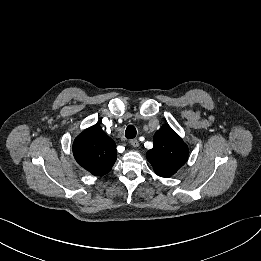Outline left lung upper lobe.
Masks as SVG:
<instances>
[{"label": "left lung upper lobe", "instance_id": "1", "mask_svg": "<svg viewBox=\"0 0 261 261\" xmlns=\"http://www.w3.org/2000/svg\"><path fill=\"white\" fill-rule=\"evenodd\" d=\"M153 143L154 147L146 153V157L158 176L175 174L187 161V145L168 124L155 133Z\"/></svg>", "mask_w": 261, "mask_h": 261}]
</instances>
